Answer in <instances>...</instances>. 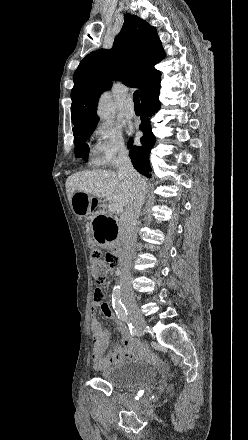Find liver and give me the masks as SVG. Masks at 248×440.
<instances>
[{
	"instance_id": "liver-1",
	"label": "liver",
	"mask_w": 248,
	"mask_h": 440,
	"mask_svg": "<svg viewBox=\"0 0 248 440\" xmlns=\"http://www.w3.org/2000/svg\"><path fill=\"white\" fill-rule=\"evenodd\" d=\"M69 200L74 192H84L98 198L127 206L135 194V184L125 176L111 170L80 171L66 180Z\"/></svg>"
}]
</instances>
